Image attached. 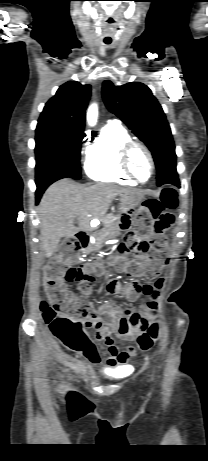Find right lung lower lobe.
I'll return each instance as SVG.
<instances>
[{
    "mask_svg": "<svg viewBox=\"0 0 208 461\" xmlns=\"http://www.w3.org/2000/svg\"><path fill=\"white\" fill-rule=\"evenodd\" d=\"M62 178H67V176H64V175H58V176H53V177H50L46 180H44L42 183H39V184H36L37 186V190H36V203L39 202L42 194L44 193V191L46 190V188L52 184L53 182L59 180V179H62Z\"/></svg>",
    "mask_w": 208,
    "mask_h": 461,
    "instance_id": "1",
    "label": "right lung lower lobe"
}]
</instances>
